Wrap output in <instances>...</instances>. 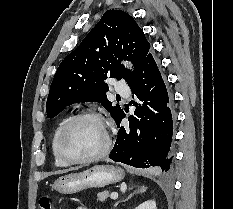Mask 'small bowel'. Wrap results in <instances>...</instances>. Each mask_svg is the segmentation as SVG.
I'll return each instance as SVG.
<instances>
[{"label":"small bowel","instance_id":"c3829d8e","mask_svg":"<svg viewBox=\"0 0 233 209\" xmlns=\"http://www.w3.org/2000/svg\"><path fill=\"white\" fill-rule=\"evenodd\" d=\"M75 209H86L85 207H76Z\"/></svg>","mask_w":233,"mask_h":209}]
</instances>
